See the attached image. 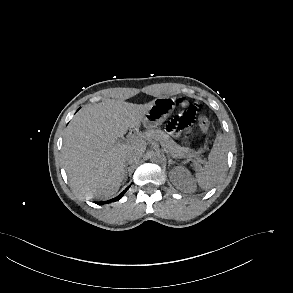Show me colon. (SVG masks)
Instances as JSON below:
<instances>
[{
	"mask_svg": "<svg viewBox=\"0 0 293 293\" xmlns=\"http://www.w3.org/2000/svg\"><path fill=\"white\" fill-rule=\"evenodd\" d=\"M179 104L185 107V110L178 116L174 117L167 124L166 129L173 135H180L198 118L199 126L204 134L210 131L209 120L200 115V106L198 103L187 104L183 100H179Z\"/></svg>",
	"mask_w": 293,
	"mask_h": 293,
	"instance_id": "obj_1",
	"label": "colon"
}]
</instances>
